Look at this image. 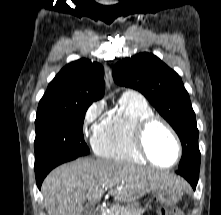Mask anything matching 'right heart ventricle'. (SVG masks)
Returning a JSON list of instances; mask_svg holds the SVG:
<instances>
[{
    "label": "right heart ventricle",
    "instance_id": "1",
    "mask_svg": "<svg viewBox=\"0 0 221 215\" xmlns=\"http://www.w3.org/2000/svg\"><path fill=\"white\" fill-rule=\"evenodd\" d=\"M153 114L144 97L124 93L94 133L92 145L95 153L116 162L145 164L146 160L134 146L133 132L140 120Z\"/></svg>",
    "mask_w": 221,
    "mask_h": 215
}]
</instances>
